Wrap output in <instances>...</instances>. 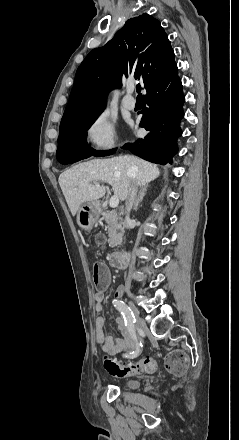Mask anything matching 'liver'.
<instances>
[{"label": "liver", "instance_id": "6515ba94", "mask_svg": "<svg viewBox=\"0 0 239 440\" xmlns=\"http://www.w3.org/2000/svg\"><path fill=\"white\" fill-rule=\"evenodd\" d=\"M160 174L156 164L145 162L136 156H117L109 160H90L77 164L59 176L60 188L72 216L77 214L83 202L99 200L106 194V188H96L92 182H108L114 188L119 200H126L132 182L137 186H148Z\"/></svg>", "mask_w": 239, "mask_h": 440}]
</instances>
